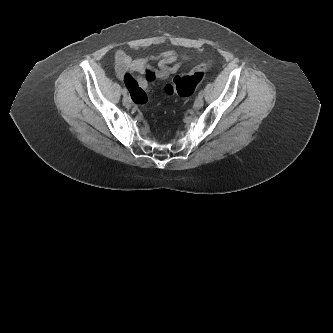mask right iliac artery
<instances>
[{
  "instance_id": "obj_1",
  "label": "right iliac artery",
  "mask_w": 333,
  "mask_h": 333,
  "mask_svg": "<svg viewBox=\"0 0 333 333\" xmlns=\"http://www.w3.org/2000/svg\"><path fill=\"white\" fill-rule=\"evenodd\" d=\"M122 93H123V95L126 96V94H127V89H126V88H123V89H122Z\"/></svg>"
}]
</instances>
